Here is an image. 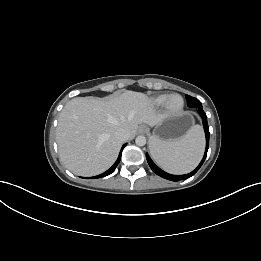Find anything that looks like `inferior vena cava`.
Listing matches in <instances>:
<instances>
[{"instance_id":"obj_1","label":"inferior vena cava","mask_w":261,"mask_h":261,"mask_svg":"<svg viewBox=\"0 0 261 261\" xmlns=\"http://www.w3.org/2000/svg\"><path fill=\"white\" fill-rule=\"evenodd\" d=\"M114 136L116 139L123 141L126 139V131L123 129H119L115 132Z\"/></svg>"}]
</instances>
